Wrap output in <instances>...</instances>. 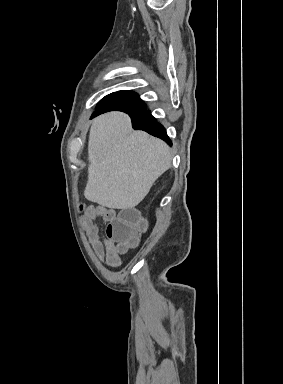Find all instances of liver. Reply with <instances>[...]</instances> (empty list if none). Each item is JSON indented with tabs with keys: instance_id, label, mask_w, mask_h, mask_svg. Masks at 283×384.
<instances>
[{
	"instance_id": "liver-1",
	"label": "liver",
	"mask_w": 283,
	"mask_h": 384,
	"mask_svg": "<svg viewBox=\"0 0 283 384\" xmlns=\"http://www.w3.org/2000/svg\"><path fill=\"white\" fill-rule=\"evenodd\" d=\"M88 160L85 198L111 210H129L171 168L172 156L162 140L134 132L127 114L109 112L92 122Z\"/></svg>"
}]
</instances>
